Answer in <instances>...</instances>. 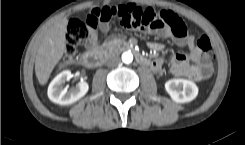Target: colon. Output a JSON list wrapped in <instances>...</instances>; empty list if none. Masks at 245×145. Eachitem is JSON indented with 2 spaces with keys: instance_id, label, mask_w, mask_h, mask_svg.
<instances>
[{
  "instance_id": "obj_1",
  "label": "colon",
  "mask_w": 245,
  "mask_h": 145,
  "mask_svg": "<svg viewBox=\"0 0 245 145\" xmlns=\"http://www.w3.org/2000/svg\"><path fill=\"white\" fill-rule=\"evenodd\" d=\"M119 22L123 28L157 30L160 27L158 19L152 13L137 8L132 9L128 14H121ZM172 29L175 33L181 34L184 31V26L175 21L172 23ZM85 35V27L78 21L72 22L68 27L69 49L73 50L75 44L83 43ZM196 48L200 52L209 55V39L205 35L201 36L196 41Z\"/></svg>"
}]
</instances>
